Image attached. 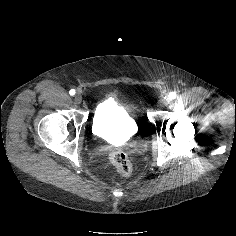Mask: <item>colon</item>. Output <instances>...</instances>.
I'll return each mask as SVG.
<instances>
[{
	"mask_svg": "<svg viewBox=\"0 0 236 236\" xmlns=\"http://www.w3.org/2000/svg\"><path fill=\"white\" fill-rule=\"evenodd\" d=\"M109 160L123 177L131 175L132 165L128 156L123 151L113 150L109 154Z\"/></svg>",
	"mask_w": 236,
	"mask_h": 236,
	"instance_id": "obj_1",
	"label": "colon"
}]
</instances>
